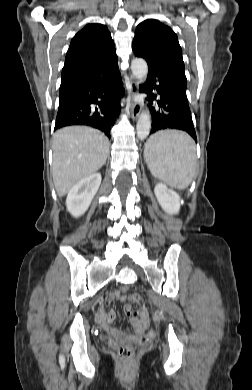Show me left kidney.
I'll return each instance as SVG.
<instances>
[{"instance_id": "obj_1", "label": "left kidney", "mask_w": 252, "mask_h": 390, "mask_svg": "<svg viewBox=\"0 0 252 390\" xmlns=\"http://www.w3.org/2000/svg\"><path fill=\"white\" fill-rule=\"evenodd\" d=\"M155 195L162 209L168 214H178L180 210V197L164 184L158 183L154 188Z\"/></svg>"}]
</instances>
